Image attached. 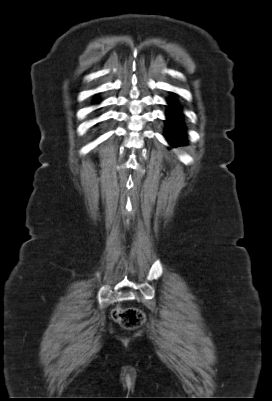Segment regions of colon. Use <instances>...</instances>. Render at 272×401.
Wrapping results in <instances>:
<instances>
[{"label":"colon","mask_w":272,"mask_h":401,"mask_svg":"<svg viewBox=\"0 0 272 401\" xmlns=\"http://www.w3.org/2000/svg\"><path fill=\"white\" fill-rule=\"evenodd\" d=\"M112 317L122 327L126 329H134L142 325L144 322L143 312L134 307L123 308L116 307L112 310Z\"/></svg>","instance_id":"obj_1"}]
</instances>
